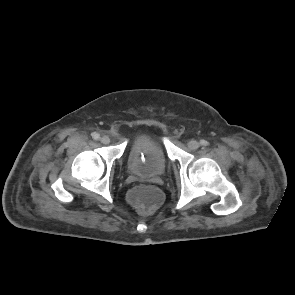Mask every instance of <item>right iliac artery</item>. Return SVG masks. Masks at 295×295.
<instances>
[{"instance_id":"obj_1","label":"right iliac artery","mask_w":295,"mask_h":295,"mask_svg":"<svg viewBox=\"0 0 295 295\" xmlns=\"http://www.w3.org/2000/svg\"><path fill=\"white\" fill-rule=\"evenodd\" d=\"M93 139L98 140L100 138V135L98 133L92 134Z\"/></svg>"}]
</instances>
